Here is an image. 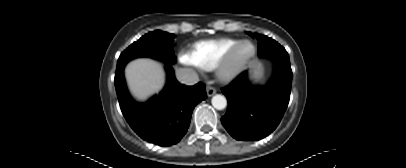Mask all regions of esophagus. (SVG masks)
Wrapping results in <instances>:
<instances>
[{
    "mask_svg": "<svg viewBox=\"0 0 406 168\" xmlns=\"http://www.w3.org/2000/svg\"><path fill=\"white\" fill-rule=\"evenodd\" d=\"M206 91L208 97H212L216 93V89L212 86H207Z\"/></svg>",
    "mask_w": 406,
    "mask_h": 168,
    "instance_id": "esophagus-1",
    "label": "esophagus"
}]
</instances>
